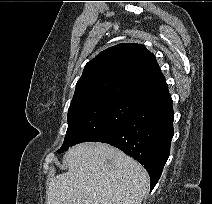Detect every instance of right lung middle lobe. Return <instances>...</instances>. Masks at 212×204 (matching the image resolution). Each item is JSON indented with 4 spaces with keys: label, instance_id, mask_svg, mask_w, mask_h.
<instances>
[{
    "label": "right lung middle lobe",
    "instance_id": "right-lung-middle-lobe-1",
    "mask_svg": "<svg viewBox=\"0 0 212 204\" xmlns=\"http://www.w3.org/2000/svg\"><path fill=\"white\" fill-rule=\"evenodd\" d=\"M141 105L124 98L105 97L70 106L65 140L57 152L102 138L128 120Z\"/></svg>",
    "mask_w": 212,
    "mask_h": 204
}]
</instances>
